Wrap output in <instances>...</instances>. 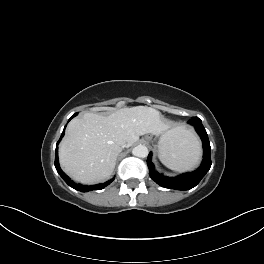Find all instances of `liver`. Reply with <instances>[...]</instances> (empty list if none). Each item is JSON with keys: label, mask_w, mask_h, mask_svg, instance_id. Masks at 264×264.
I'll return each instance as SVG.
<instances>
[{"label": "liver", "mask_w": 264, "mask_h": 264, "mask_svg": "<svg viewBox=\"0 0 264 264\" xmlns=\"http://www.w3.org/2000/svg\"><path fill=\"white\" fill-rule=\"evenodd\" d=\"M169 128L160 112L147 106L122 108L109 116L85 113L68 124L59 147L60 165L76 181L100 182L112 174L122 144L130 147L147 133L171 138L178 128Z\"/></svg>", "instance_id": "obj_1"}]
</instances>
